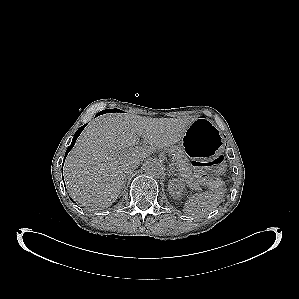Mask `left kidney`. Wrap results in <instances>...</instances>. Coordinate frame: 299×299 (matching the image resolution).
<instances>
[{
  "label": "left kidney",
  "mask_w": 299,
  "mask_h": 299,
  "mask_svg": "<svg viewBox=\"0 0 299 299\" xmlns=\"http://www.w3.org/2000/svg\"><path fill=\"white\" fill-rule=\"evenodd\" d=\"M185 189V185L181 179H171L168 183V191L171 196L178 199L182 196Z\"/></svg>",
  "instance_id": "left-kidney-1"
}]
</instances>
